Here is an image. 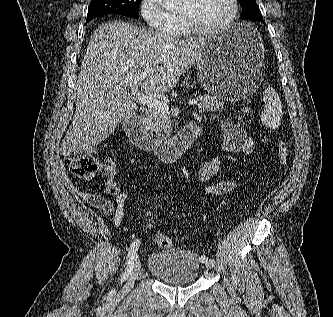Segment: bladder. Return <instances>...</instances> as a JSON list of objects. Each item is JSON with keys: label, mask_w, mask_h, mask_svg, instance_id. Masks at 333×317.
Returning a JSON list of instances; mask_svg holds the SVG:
<instances>
[{"label": "bladder", "mask_w": 333, "mask_h": 317, "mask_svg": "<svg viewBox=\"0 0 333 317\" xmlns=\"http://www.w3.org/2000/svg\"><path fill=\"white\" fill-rule=\"evenodd\" d=\"M147 271L155 278L172 285H190L200 276L198 255L188 249L154 251L147 258Z\"/></svg>", "instance_id": "1"}]
</instances>
